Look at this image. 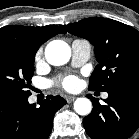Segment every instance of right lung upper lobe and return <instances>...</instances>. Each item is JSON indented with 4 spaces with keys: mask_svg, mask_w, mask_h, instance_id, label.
Here are the masks:
<instances>
[{
    "mask_svg": "<svg viewBox=\"0 0 139 139\" xmlns=\"http://www.w3.org/2000/svg\"><path fill=\"white\" fill-rule=\"evenodd\" d=\"M59 33H65V31L56 25L44 27L9 25L0 28V40H15L38 50L41 44Z\"/></svg>",
    "mask_w": 139,
    "mask_h": 139,
    "instance_id": "right-lung-upper-lobe-1",
    "label": "right lung upper lobe"
}]
</instances>
